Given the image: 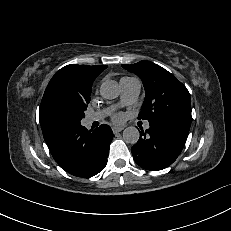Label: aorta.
Wrapping results in <instances>:
<instances>
[{"instance_id":"762f6f07","label":"aorta","mask_w":231,"mask_h":231,"mask_svg":"<svg viewBox=\"0 0 231 231\" xmlns=\"http://www.w3.org/2000/svg\"><path fill=\"white\" fill-rule=\"evenodd\" d=\"M120 89L116 81L107 80L100 86V94L105 99H115L119 96ZM140 133L136 127L130 126L123 131V140L126 143L136 144L139 140Z\"/></svg>"}]
</instances>
